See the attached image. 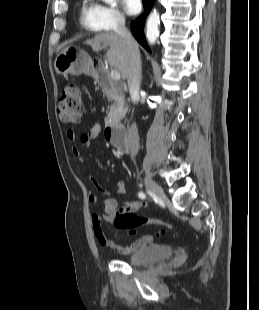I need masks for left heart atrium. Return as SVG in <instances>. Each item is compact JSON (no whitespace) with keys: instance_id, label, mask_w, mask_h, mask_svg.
Masks as SVG:
<instances>
[{"instance_id":"left-heart-atrium-1","label":"left heart atrium","mask_w":259,"mask_h":310,"mask_svg":"<svg viewBox=\"0 0 259 310\" xmlns=\"http://www.w3.org/2000/svg\"><path fill=\"white\" fill-rule=\"evenodd\" d=\"M124 10L130 15L137 14L141 10V0H122Z\"/></svg>"}]
</instances>
